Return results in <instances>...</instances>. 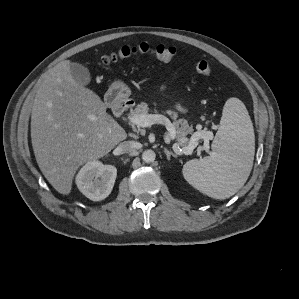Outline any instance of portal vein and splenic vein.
<instances>
[{"label":"portal vein and splenic vein","mask_w":299,"mask_h":299,"mask_svg":"<svg viewBox=\"0 0 299 299\" xmlns=\"http://www.w3.org/2000/svg\"><path fill=\"white\" fill-rule=\"evenodd\" d=\"M129 123L132 125H136L138 127H150L153 124H162L166 127L167 133L165 135V142L170 143L171 139L175 137L176 130L174 125L171 123V121L161 114H140L136 115L134 117L128 118ZM207 133H203V135L206 137ZM177 147V145H176ZM196 147L195 139L191 140V143L184 147L182 150H179L183 154L190 155L192 154L194 148ZM204 149V147H200L198 149V153H201V150Z\"/></svg>","instance_id":"18ae733b"}]
</instances>
